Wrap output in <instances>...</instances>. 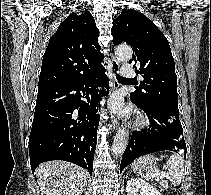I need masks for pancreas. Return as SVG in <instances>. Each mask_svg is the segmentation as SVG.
<instances>
[{
    "mask_svg": "<svg viewBox=\"0 0 211 195\" xmlns=\"http://www.w3.org/2000/svg\"><path fill=\"white\" fill-rule=\"evenodd\" d=\"M160 185L164 188H167L168 187V183L167 182H161Z\"/></svg>",
    "mask_w": 211,
    "mask_h": 195,
    "instance_id": "1",
    "label": "pancreas"
}]
</instances>
